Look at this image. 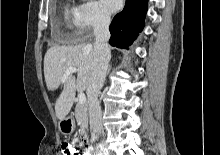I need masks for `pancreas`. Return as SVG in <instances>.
<instances>
[{"mask_svg": "<svg viewBox=\"0 0 220 155\" xmlns=\"http://www.w3.org/2000/svg\"><path fill=\"white\" fill-rule=\"evenodd\" d=\"M75 117L78 125L81 128V132H83L88 127V107L87 104H80L79 102L75 107Z\"/></svg>", "mask_w": 220, "mask_h": 155, "instance_id": "obj_1", "label": "pancreas"}]
</instances>
